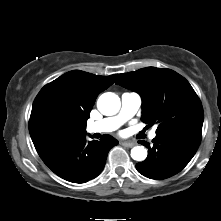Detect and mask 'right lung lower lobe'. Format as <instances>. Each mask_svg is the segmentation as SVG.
<instances>
[{
	"instance_id": "obj_1",
	"label": "right lung lower lobe",
	"mask_w": 221,
	"mask_h": 221,
	"mask_svg": "<svg viewBox=\"0 0 221 221\" xmlns=\"http://www.w3.org/2000/svg\"><path fill=\"white\" fill-rule=\"evenodd\" d=\"M117 144L110 135L87 142L84 133L46 142L36 150L56 175L69 182L85 183L100 174L109 150Z\"/></svg>"
}]
</instances>
